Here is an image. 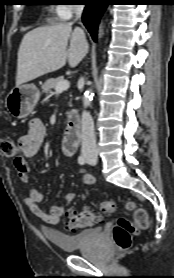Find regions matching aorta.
Returning <instances> with one entry per match:
<instances>
[{"label":"aorta","mask_w":174,"mask_h":278,"mask_svg":"<svg viewBox=\"0 0 174 278\" xmlns=\"http://www.w3.org/2000/svg\"><path fill=\"white\" fill-rule=\"evenodd\" d=\"M98 36L101 37L102 36V26L100 25L99 27V32H98ZM93 98V93H92V89H88L83 96V104L85 107L89 106L91 101Z\"/></svg>","instance_id":"aorta-1"}]
</instances>
